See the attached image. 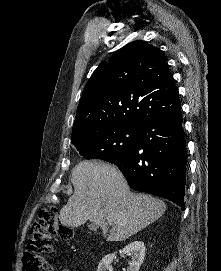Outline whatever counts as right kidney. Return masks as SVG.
Returning a JSON list of instances; mask_svg holds the SVG:
<instances>
[{"label": "right kidney", "mask_w": 221, "mask_h": 271, "mask_svg": "<svg viewBox=\"0 0 221 271\" xmlns=\"http://www.w3.org/2000/svg\"><path fill=\"white\" fill-rule=\"evenodd\" d=\"M145 249L144 241H131V243L120 249L121 255H130L127 271H139L145 257ZM117 253L118 251H113V253L104 255L98 263L97 271H107V269H110V265L113 259L117 257Z\"/></svg>", "instance_id": "1"}]
</instances>
